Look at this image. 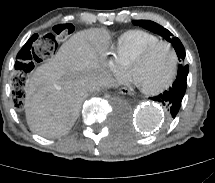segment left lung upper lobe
Listing matches in <instances>:
<instances>
[{
    "label": "left lung upper lobe",
    "mask_w": 215,
    "mask_h": 183,
    "mask_svg": "<svg viewBox=\"0 0 215 183\" xmlns=\"http://www.w3.org/2000/svg\"><path fill=\"white\" fill-rule=\"evenodd\" d=\"M134 25L142 26L143 28H146L154 33H157L161 35L163 38H165L167 41L171 42L174 46V49L177 53V56L179 58V61H184L185 60V50L184 47L181 43V41L172 35L171 32H169L167 29L162 27L161 25L152 22V21H146V20H136L133 21ZM189 67L188 65H180L179 70L180 71H188Z\"/></svg>",
    "instance_id": "left-lung-upper-lobe-1"
}]
</instances>
